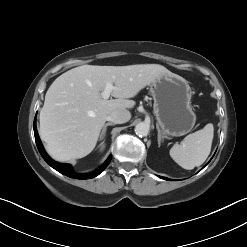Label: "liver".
<instances>
[{
    "label": "liver",
    "mask_w": 247,
    "mask_h": 247,
    "mask_svg": "<svg viewBox=\"0 0 247 247\" xmlns=\"http://www.w3.org/2000/svg\"><path fill=\"white\" fill-rule=\"evenodd\" d=\"M161 74L174 73L159 64H138L82 65L60 75L49 87L39 117V134L48 154L57 161L87 156L109 113L133 108L135 101L129 98ZM107 82L115 85L111 95L116 99L102 98Z\"/></svg>",
    "instance_id": "1"
}]
</instances>
